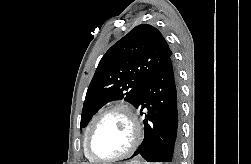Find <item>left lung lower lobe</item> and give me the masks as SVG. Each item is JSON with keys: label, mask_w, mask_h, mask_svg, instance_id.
<instances>
[{"label": "left lung lower lobe", "mask_w": 251, "mask_h": 164, "mask_svg": "<svg viewBox=\"0 0 251 164\" xmlns=\"http://www.w3.org/2000/svg\"><path fill=\"white\" fill-rule=\"evenodd\" d=\"M141 115L146 109L144 140L133 156L148 162L175 164L179 158L180 89L170 58L143 87L136 105Z\"/></svg>", "instance_id": "1"}]
</instances>
